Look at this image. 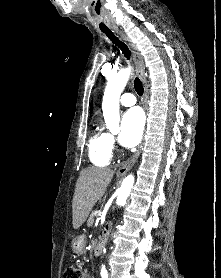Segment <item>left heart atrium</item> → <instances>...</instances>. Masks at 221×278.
I'll list each match as a JSON object with an SVG mask.
<instances>
[{
    "instance_id": "1",
    "label": "left heart atrium",
    "mask_w": 221,
    "mask_h": 278,
    "mask_svg": "<svg viewBox=\"0 0 221 278\" xmlns=\"http://www.w3.org/2000/svg\"><path fill=\"white\" fill-rule=\"evenodd\" d=\"M144 114L138 108L128 110L122 118L120 143L125 147H134L141 140L144 129Z\"/></svg>"
}]
</instances>
